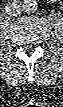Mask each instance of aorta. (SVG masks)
I'll use <instances>...</instances> for the list:
<instances>
[{"mask_svg":"<svg viewBox=\"0 0 63 107\" xmlns=\"http://www.w3.org/2000/svg\"><path fill=\"white\" fill-rule=\"evenodd\" d=\"M23 10L27 13H33L37 10L38 8V3L36 0H25L23 2Z\"/></svg>","mask_w":63,"mask_h":107,"instance_id":"aorta-1","label":"aorta"}]
</instances>
